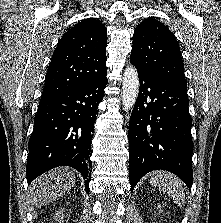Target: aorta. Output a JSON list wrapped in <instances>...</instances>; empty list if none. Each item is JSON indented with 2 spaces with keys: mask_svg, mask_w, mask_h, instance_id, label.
I'll use <instances>...</instances> for the list:
<instances>
[{
  "mask_svg": "<svg viewBox=\"0 0 221 223\" xmlns=\"http://www.w3.org/2000/svg\"><path fill=\"white\" fill-rule=\"evenodd\" d=\"M122 90L123 109L128 111L133 108L139 92L138 73L132 66L127 67L124 71Z\"/></svg>",
  "mask_w": 221,
  "mask_h": 223,
  "instance_id": "aorta-1",
  "label": "aorta"
}]
</instances>
